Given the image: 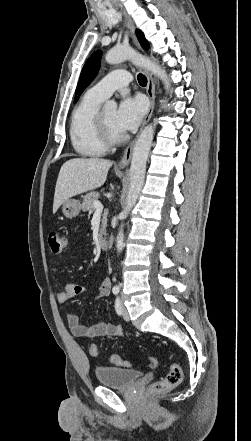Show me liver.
Listing matches in <instances>:
<instances>
[{"mask_svg":"<svg viewBox=\"0 0 251 441\" xmlns=\"http://www.w3.org/2000/svg\"><path fill=\"white\" fill-rule=\"evenodd\" d=\"M112 162L101 158H73L66 161L59 172L53 203V213L67 199L101 187Z\"/></svg>","mask_w":251,"mask_h":441,"instance_id":"6515ba94","label":"liver"}]
</instances>
